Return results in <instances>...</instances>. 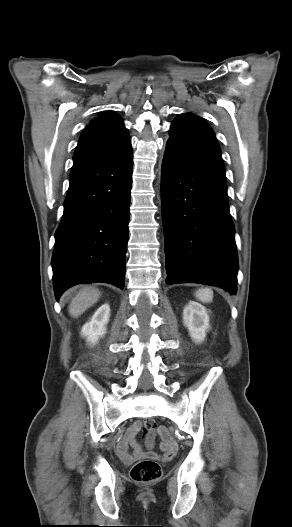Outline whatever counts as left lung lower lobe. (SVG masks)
<instances>
[{
	"label": "left lung lower lobe",
	"mask_w": 292,
	"mask_h": 527,
	"mask_svg": "<svg viewBox=\"0 0 292 527\" xmlns=\"http://www.w3.org/2000/svg\"><path fill=\"white\" fill-rule=\"evenodd\" d=\"M161 196L167 284L235 293L238 260L223 160L167 143Z\"/></svg>",
	"instance_id": "obj_1"
}]
</instances>
